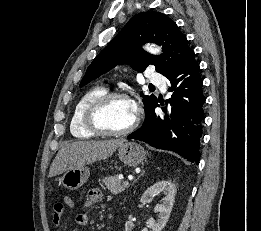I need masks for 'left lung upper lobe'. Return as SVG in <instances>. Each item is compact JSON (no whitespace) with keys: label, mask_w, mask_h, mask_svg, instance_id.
<instances>
[{"label":"left lung upper lobe","mask_w":261,"mask_h":231,"mask_svg":"<svg viewBox=\"0 0 261 231\" xmlns=\"http://www.w3.org/2000/svg\"><path fill=\"white\" fill-rule=\"evenodd\" d=\"M144 42L162 45L163 54L159 57L140 50ZM194 51L187 44V38L179 31L175 22L165 14L143 12L133 16L121 32L103 49L87 68L80 86H84L120 63L128 62L143 72L147 66L154 65L156 71L164 76L182 66ZM145 111L157 98L143 95Z\"/></svg>","instance_id":"obj_1"}]
</instances>
